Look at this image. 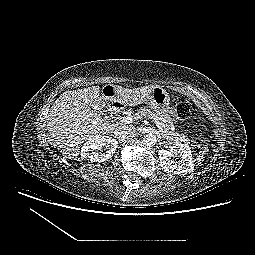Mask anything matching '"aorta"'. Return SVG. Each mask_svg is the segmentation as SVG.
<instances>
[{
	"label": "aorta",
	"instance_id": "obj_1",
	"mask_svg": "<svg viewBox=\"0 0 255 255\" xmlns=\"http://www.w3.org/2000/svg\"><path fill=\"white\" fill-rule=\"evenodd\" d=\"M144 143L146 144V145H149V146H151V145H155L156 144V142H157V137H156V135H154V134H152V133H149V134H146L145 136H144Z\"/></svg>",
	"mask_w": 255,
	"mask_h": 255
}]
</instances>
